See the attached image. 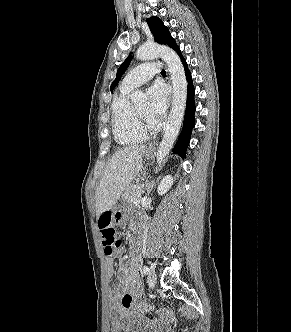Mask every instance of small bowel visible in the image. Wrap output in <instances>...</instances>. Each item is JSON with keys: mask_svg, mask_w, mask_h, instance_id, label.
I'll list each match as a JSON object with an SVG mask.
<instances>
[{"mask_svg": "<svg viewBox=\"0 0 291 332\" xmlns=\"http://www.w3.org/2000/svg\"><path fill=\"white\" fill-rule=\"evenodd\" d=\"M119 259L117 278L119 284L110 295V310L113 320V330L119 332H161L165 329L171 314L163 312L156 321H151L143 315L153 309L144 298L137 277V266L140 251L132 249L130 256L123 254V249L117 251ZM108 274H113V266L108 265Z\"/></svg>", "mask_w": 291, "mask_h": 332, "instance_id": "obj_1", "label": "small bowel"}]
</instances>
